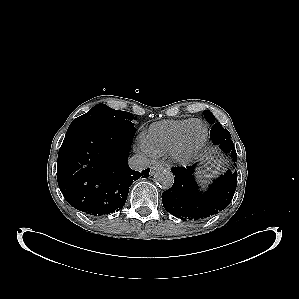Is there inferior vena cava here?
<instances>
[{
    "mask_svg": "<svg viewBox=\"0 0 299 299\" xmlns=\"http://www.w3.org/2000/svg\"><path fill=\"white\" fill-rule=\"evenodd\" d=\"M128 164L131 169L142 171L149 166L150 161L146 156L136 154L129 159Z\"/></svg>",
    "mask_w": 299,
    "mask_h": 299,
    "instance_id": "obj_1",
    "label": "inferior vena cava"
}]
</instances>
